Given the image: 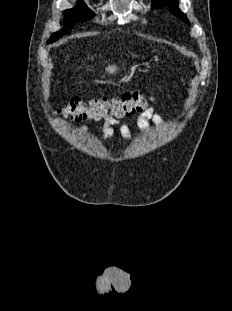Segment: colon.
Wrapping results in <instances>:
<instances>
[{
	"label": "colon",
	"instance_id": "1",
	"mask_svg": "<svg viewBox=\"0 0 232 311\" xmlns=\"http://www.w3.org/2000/svg\"><path fill=\"white\" fill-rule=\"evenodd\" d=\"M150 97L140 91H132L112 99H93L87 102L73 98L59 114L74 121H113L131 117L145 110Z\"/></svg>",
	"mask_w": 232,
	"mask_h": 311
}]
</instances>
